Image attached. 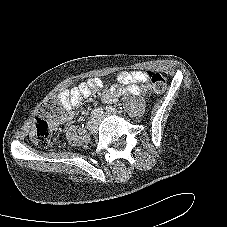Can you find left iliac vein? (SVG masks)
Listing matches in <instances>:
<instances>
[{
  "label": "left iliac vein",
  "mask_w": 227,
  "mask_h": 227,
  "mask_svg": "<svg viewBox=\"0 0 227 227\" xmlns=\"http://www.w3.org/2000/svg\"><path fill=\"white\" fill-rule=\"evenodd\" d=\"M106 115L101 116L100 118H98V121H101L103 118H105Z\"/></svg>",
  "instance_id": "obj_1"
}]
</instances>
